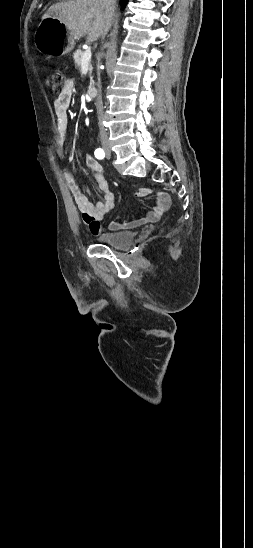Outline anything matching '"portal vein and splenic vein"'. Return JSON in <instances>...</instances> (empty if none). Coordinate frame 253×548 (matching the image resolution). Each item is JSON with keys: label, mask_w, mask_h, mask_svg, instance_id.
Instances as JSON below:
<instances>
[{"label": "portal vein and splenic vein", "mask_w": 253, "mask_h": 548, "mask_svg": "<svg viewBox=\"0 0 253 548\" xmlns=\"http://www.w3.org/2000/svg\"><path fill=\"white\" fill-rule=\"evenodd\" d=\"M91 56H92V53H91V50L88 49L84 52L83 56H82V66H85V65H88L90 60H91Z\"/></svg>", "instance_id": "portal-vein-and-splenic-vein-1"}]
</instances>
